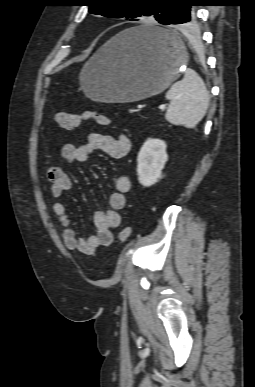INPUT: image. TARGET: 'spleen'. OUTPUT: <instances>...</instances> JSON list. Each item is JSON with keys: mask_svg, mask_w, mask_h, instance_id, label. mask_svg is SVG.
<instances>
[{"mask_svg": "<svg viewBox=\"0 0 255 387\" xmlns=\"http://www.w3.org/2000/svg\"><path fill=\"white\" fill-rule=\"evenodd\" d=\"M171 100L166 119L174 125L194 128L205 116L209 105V93L201 77L187 69L181 81L174 83L166 93Z\"/></svg>", "mask_w": 255, "mask_h": 387, "instance_id": "obj_1", "label": "spleen"}]
</instances>
